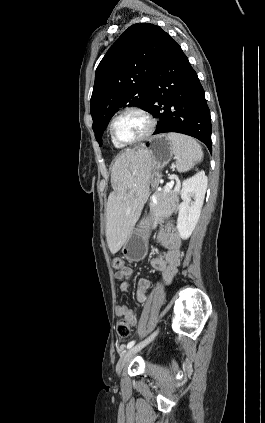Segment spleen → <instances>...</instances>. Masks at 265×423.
I'll use <instances>...</instances> for the list:
<instances>
[{
	"label": "spleen",
	"mask_w": 265,
	"mask_h": 423,
	"mask_svg": "<svg viewBox=\"0 0 265 423\" xmlns=\"http://www.w3.org/2000/svg\"><path fill=\"white\" fill-rule=\"evenodd\" d=\"M167 137L173 146L178 172H187L201 162L203 151L196 140L178 133H168Z\"/></svg>",
	"instance_id": "spleen-1"
}]
</instances>
